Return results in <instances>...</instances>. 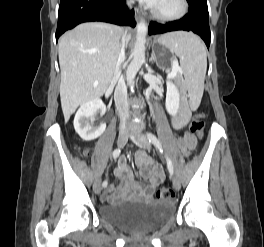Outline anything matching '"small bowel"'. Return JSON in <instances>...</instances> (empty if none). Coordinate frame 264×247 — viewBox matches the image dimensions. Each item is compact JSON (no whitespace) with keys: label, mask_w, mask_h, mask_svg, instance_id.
I'll use <instances>...</instances> for the list:
<instances>
[{"label":"small bowel","mask_w":264,"mask_h":247,"mask_svg":"<svg viewBox=\"0 0 264 247\" xmlns=\"http://www.w3.org/2000/svg\"><path fill=\"white\" fill-rule=\"evenodd\" d=\"M190 117V112L185 111L179 118L173 120L175 128H181L186 124ZM179 146L185 155H189L191 150L195 147V138L186 133L178 140ZM136 164L139 167L140 176L148 179L150 183L142 187L138 183L125 159L121 158L115 168V175L120 181L118 193H113V187L110 186L103 194L102 199L108 202L117 201L121 197L134 196L141 199H151L157 187L161 184L164 178L161 166L154 163L143 150H139L135 156Z\"/></svg>","instance_id":"obj_1"}]
</instances>
